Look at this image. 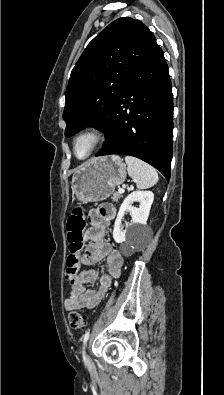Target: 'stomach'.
<instances>
[{
  "label": "stomach",
  "mask_w": 224,
  "mask_h": 395,
  "mask_svg": "<svg viewBox=\"0 0 224 395\" xmlns=\"http://www.w3.org/2000/svg\"><path fill=\"white\" fill-rule=\"evenodd\" d=\"M125 179L126 167L119 156L91 159L73 174V197L82 203L105 200Z\"/></svg>",
  "instance_id": "1"
}]
</instances>
